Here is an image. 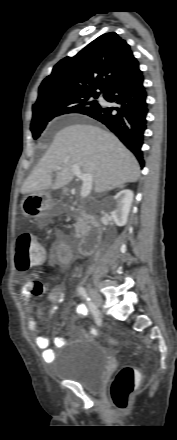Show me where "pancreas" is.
<instances>
[{
    "mask_svg": "<svg viewBox=\"0 0 177 440\" xmlns=\"http://www.w3.org/2000/svg\"><path fill=\"white\" fill-rule=\"evenodd\" d=\"M76 223L74 224L75 227V237L79 238L82 235H84L88 230V223L85 218L77 217Z\"/></svg>",
    "mask_w": 177,
    "mask_h": 440,
    "instance_id": "1",
    "label": "pancreas"
}]
</instances>
